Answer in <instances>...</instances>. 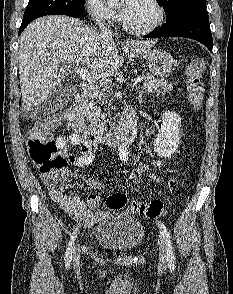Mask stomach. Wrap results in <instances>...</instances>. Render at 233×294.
<instances>
[{
  "label": "stomach",
  "mask_w": 233,
  "mask_h": 294,
  "mask_svg": "<svg viewBox=\"0 0 233 294\" xmlns=\"http://www.w3.org/2000/svg\"><path fill=\"white\" fill-rule=\"evenodd\" d=\"M143 57L152 74L159 78L169 76L176 66L173 57L164 50L154 49L147 51Z\"/></svg>",
  "instance_id": "1"
}]
</instances>
